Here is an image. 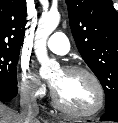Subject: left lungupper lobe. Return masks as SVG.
Returning <instances> with one entry per match:
<instances>
[{
    "label": "left lung upper lobe",
    "mask_w": 118,
    "mask_h": 123,
    "mask_svg": "<svg viewBox=\"0 0 118 123\" xmlns=\"http://www.w3.org/2000/svg\"><path fill=\"white\" fill-rule=\"evenodd\" d=\"M82 58L100 80L106 112L118 109V13L112 0H66Z\"/></svg>",
    "instance_id": "left-lung-upper-lobe-1"
}]
</instances>
